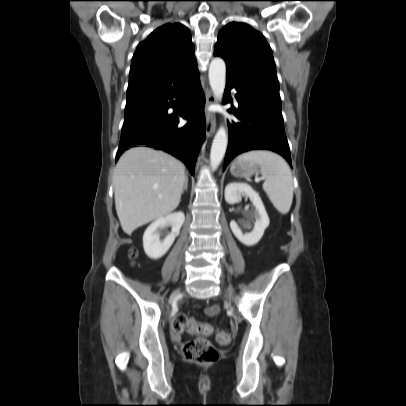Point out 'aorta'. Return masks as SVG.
Here are the masks:
<instances>
[{"label": "aorta", "instance_id": "762f6f07", "mask_svg": "<svg viewBox=\"0 0 406 406\" xmlns=\"http://www.w3.org/2000/svg\"><path fill=\"white\" fill-rule=\"evenodd\" d=\"M209 82L214 97L221 101L226 83V65L223 59L216 57L211 60L209 66ZM227 145V131L221 126L216 132L211 146L210 162L213 169L217 168L223 160Z\"/></svg>", "mask_w": 406, "mask_h": 406}]
</instances>
